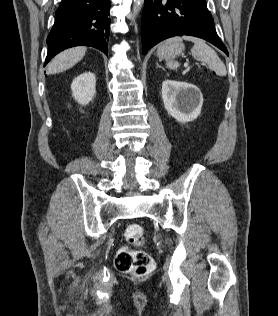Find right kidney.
Returning <instances> with one entry per match:
<instances>
[{"mask_svg":"<svg viewBox=\"0 0 278 316\" xmlns=\"http://www.w3.org/2000/svg\"><path fill=\"white\" fill-rule=\"evenodd\" d=\"M95 86L94 73L84 72L73 80L71 84L72 95L79 104L86 105L96 93Z\"/></svg>","mask_w":278,"mask_h":316,"instance_id":"ca27d5eb","label":"right kidney"}]
</instances>
